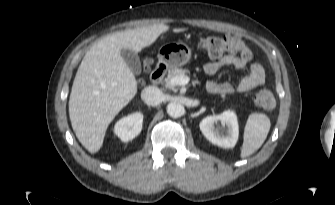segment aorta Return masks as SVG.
I'll return each instance as SVG.
<instances>
[{"label": "aorta", "instance_id": "obj_1", "mask_svg": "<svg viewBox=\"0 0 335 205\" xmlns=\"http://www.w3.org/2000/svg\"><path fill=\"white\" fill-rule=\"evenodd\" d=\"M184 111V106L179 102H171L167 105V113L173 118L181 117Z\"/></svg>", "mask_w": 335, "mask_h": 205}]
</instances>
